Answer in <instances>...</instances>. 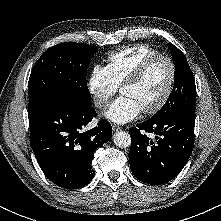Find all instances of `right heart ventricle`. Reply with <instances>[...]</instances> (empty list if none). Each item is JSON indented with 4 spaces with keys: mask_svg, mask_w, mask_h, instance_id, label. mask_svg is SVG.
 Masks as SVG:
<instances>
[{
    "mask_svg": "<svg viewBox=\"0 0 221 221\" xmlns=\"http://www.w3.org/2000/svg\"><path fill=\"white\" fill-rule=\"evenodd\" d=\"M157 53L159 51L149 45H133L109 53L106 67L114 83L119 86L143 60Z\"/></svg>",
    "mask_w": 221,
    "mask_h": 221,
    "instance_id": "1",
    "label": "right heart ventricle"
}]
</instances>
